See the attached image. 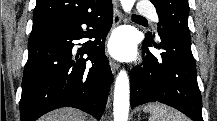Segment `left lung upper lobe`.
<instances>
[{"label":"left lung upper lobe","instance_id":"1","mask_svg":"<svg viewBox=\"0 0 217 121\" xmlns=\"http://www.w3.org/2000/svg\"><path fill=\"white\" fill-rule=\"evenodd\" d=\"M158 13V34L163 28L173 30L178 35L191 41L188 28L189 5L188 0H150ZM146 36L152 38V35Z\"/></svg>","mask_w":217,"mask_h":121}]
</instances>
